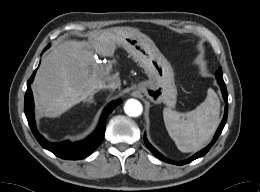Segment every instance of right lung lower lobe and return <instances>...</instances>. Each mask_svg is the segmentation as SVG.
<instances>
[{
  "mask_svg": "<svg viewBox=\"0 0 260 192\" xmlns=\"http://www.w3.org/2000/svg\"><path fill=\"white\" fill-rule=\"evenodd\" d=\"M49 46H47L44 50H46ZM36 70L30 77L27 82V91L25 94V103H24V111L27 117L29 126L32 130L37 141L42 145L43 148L51 151L56 156L63 159L77 160L84 159L101 144L104 134H105V125L106 120L112 110L121 103V100H116L110 103L106 109L103 111L100 122L96 128V130L86 139L71 143L70 141H64L60 143H51L48 142L36 129L35 120H34V103H33V95L30 88V83L33 81Z\"/></svg>",
  "mask_w": 260,
  "mask_h": 192,
  "instance_id": "right-lung-lower-lobe-1",
  "label": "right lung lower lobe"
}]
</instances>
